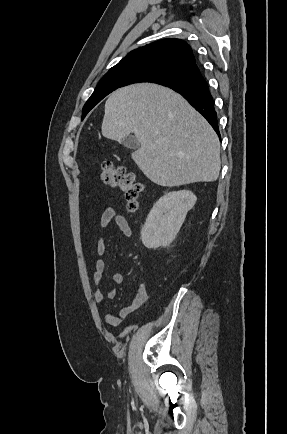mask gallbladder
<instances>
[{
    "label": "gallbladder",
    "mask_w": 287,
    "mask_h": 434,
    "mask_svg": "<svg viewBox=\"0 0 287 434\" xmlns=\"http://www.w3.org/2000/svg\"><path fill=\"white\" fill-rule=\"evenodd\" d=\"M122 144L132 150H136L140 147V143L137 140V138L134 135H128L126 136L123 141Z\"/></svg>",
    "instance_id": "1"
}]
</instances>
